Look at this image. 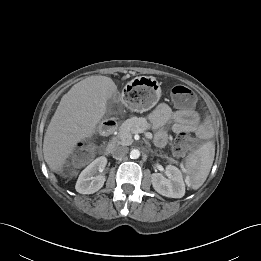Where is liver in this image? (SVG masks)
I'll return each mask as SVG.
<instances>
[{
  "mask_svg": "<svg viewBox=\"0 0 261 261\" xmlns=\"http://www.w3.org/2000/svg\"><path fill=\"white\" fill-rule=\"evenodd\" d=\"M117 93L114 81L91 76L71 87L62 97L44 136V159L53 172H61L77 144L92 137L107 111V101Z\"/></svg>",
  "mask_w": 261,
  "mask_h": 261,
  "instance_id": "1",
  "label": "liver"
}]
</instances>
